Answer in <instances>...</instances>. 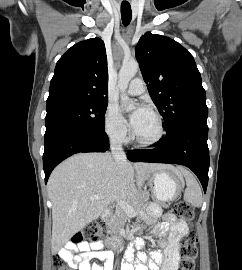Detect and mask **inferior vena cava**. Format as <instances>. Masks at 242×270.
<instances>
[{
  "mask_svg": "<svg viewBox=\"0 0 242 270\" xmlns=\"http://www.w3.org/2000/svg\"><path fill=\"white\" fill-rule=\"evenodd\" d=\"M110 149L114 159L124 160L126 155L122 148V139L116 138L111 141Z\"/></svg>",
  "mask_w": 242,
  "mask_h": 270,
  "instance_id": "1",
  "label": "inferior vena cava"
}]
</instances>
